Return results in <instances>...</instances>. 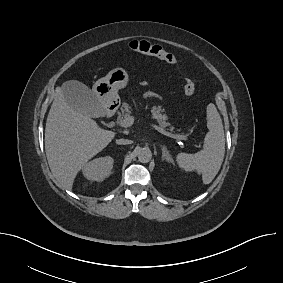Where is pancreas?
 <instances>
[{
	"instance_id": "1",
	"label": "pancreas",
	"mask_w": 283,
	"mask_h": 283,
	"mask_svg": "<svg viewBox=\"0 0 283 283\" xmlns=\"http://www.w3.org/2000/svg\"><path fill=\"white\" fill-rule=\"evenodd\" d=\"M131 106L128 103H123L122 104V108H121V112L122 114H119L118 118H117V123H120L122 120H124L125 118H127L128 116H130L131 114ZM161 107L158 106H154L151 110L152 113V118L155 119L158 124L160 125V127L162 128H166L167 126L170 125L169 122H167V115L166 114H161Z\"/></svg>"
}]
</instances>
